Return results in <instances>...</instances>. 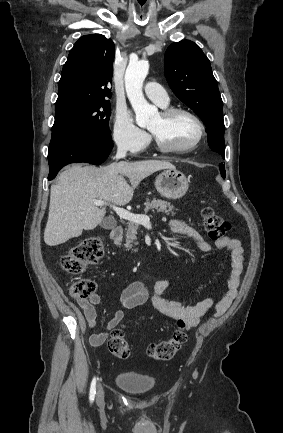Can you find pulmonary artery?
Masks as SVG:
<instances>
[{
    "instance_id": "e3ab8cb5",
    "label": "pulmonary artery",
    "mask_w": 283,
    "mask_h": 433,
    "mask_svg": "<svg viewBox=\"0 0 283 433\" xmlns=\"http://www.w3.org/2000/svg\"><path fill=\"white\" fill-rule=\"evenodd\" d=\"M144 92L148 98L158 104L160 107H165L169 104L170 98L164 89H160L159 83L149 81L144 86Z\"/></svg>"
}]
</instances>
